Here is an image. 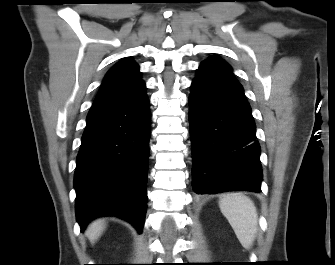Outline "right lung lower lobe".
I'll use <instances>...</instances> for the list:
<instances>
[{"label": "right lung lower lobe", "mask_w": 335, "mask_h": 265, "mask_svg": "<svg viewBox=\"0 0 335 265\" xmlns=\"http://www.w3.org/2000/svg\"><path fill=\"white\" fill-rule=\"evenodd\" d=\"M150 119L146 92L127 101L91 107L74 176L81 231L92 219L113 215L142 232Z\"/></svg>", "instance_id": "1"}]
</instances>
